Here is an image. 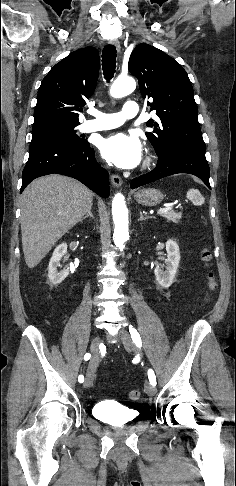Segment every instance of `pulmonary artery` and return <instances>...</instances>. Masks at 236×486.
<instances>
[{"mask_svg":"<svg viewBox=\"0 0 236 486\" xmlns=\"http://www.w3.org/2000/svg\"><path fill=\"white\" fill-rule=\"evenodd\" d=\"M139 112L138 104L135 101H127L120 112L107 114L96 109L89 113L94 117L85 120L79 127L81 132H94L108 130L121 126L127 119L135 117Z\"/></svg>","mask_w":236,"mask_h":486,"instance_id":"obj_1","label":"pulmonary artery"}]
</instances>
